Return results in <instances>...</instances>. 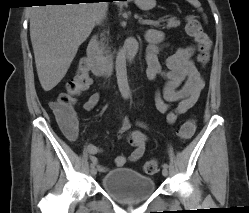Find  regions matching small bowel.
Segmentation results:
<instances>
[{
  "mask_svg": "<svg viewBox=\"0 0 249 213\" xmlns=\"http://www.w3.org/2000/svg\"><path fill=\"white\" fill-rule=\"evenodd\" d=\"M148 49L146 55L145 73L151 81H157L158 78L164 79V85L159 88L155 95L157 109L167 114V122L174 124L180 115L188 110L197 102L200 93L204 87V79L200 70L195 66L192 57L195 53L194 46H187L178 49L174 54L166 59L165 66L162 65L158 58V53L163 43V36L157 30H149L146 33ZM100 100V93L95 92L85 101L83 107L86 111L93 110ZM141 125L147 126L144 122ZM62 128L71 139H75L78 131L77 120L66 127ZM132 121L124 118L119 127V134L126 139L132 146L128 159L119 155L115 158V164L122 167L127 160L137 162L145 153L147 136L139 130H131ZM87 149L91 155V160L98 162L97 155L102 149L95 144H89ZM101 172H106L107 168L98 164Z\"/></svg>",
  "mask_w": 249,
  "mask_h": 213,
  "instance_id": "1",
  "label": "small bowel"
}]
</instances>
